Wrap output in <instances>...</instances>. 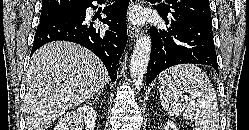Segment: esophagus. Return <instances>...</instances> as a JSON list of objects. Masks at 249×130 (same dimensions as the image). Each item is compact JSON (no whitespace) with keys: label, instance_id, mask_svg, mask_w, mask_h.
I'll return each mask as SVG.
<instances>
[{"label":"esophagus","instance_id":"1","mask_svg":"<svg viewBox=\"0 0 249 130\" xmlns=\"http://www.w3.org/2000/svg\"><path fill=\"white\" fill-rule=\"evenodd\" d=\"M139 29L133 25L128 26V35L131 39L137 38L139 36Z\"/></svg>","mask_w":249,"mask_h":130}]
</instances>
